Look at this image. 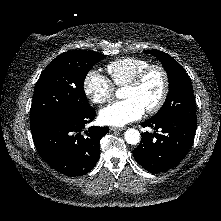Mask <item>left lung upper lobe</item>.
I'll list each match as a JSON object with an SVG mask.
<instances>
[{"mask_svg": "<svg viewBox=\"0 0 221 221\" xmlns=\"http://www.w3.org/2000/svg\"><path fill=\"white\" fill-rule=\"evenodd\" d=\"M145 52L159 59L169 80L168 96L162 108L152 118L175 115L197 120L193 88L183 67L165 52L158 50H146Z\"/></svg>", "mask_w": 221, "mask_h": 221, "instance_id": "obj_1", "label": "left lung upper lobe"}]
</instances>
